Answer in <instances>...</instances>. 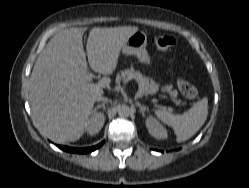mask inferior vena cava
I'll use <instances>...</instances> for the list:
<instances>
[{"label":"inferior vena cava","instance_id":"602c4592","mask_svg":"<svg viewBox=\"0 0 249 188\" xmlns=\"http://www.w3.org/2000/svg\"><path fill=\"white\" fill-rule=\"evenodd\" d=\"M107 98L103 97V96H99L97 98V101H105Z\"/></svg>","mask_w":249,"mask_h":188}]
</instances>
